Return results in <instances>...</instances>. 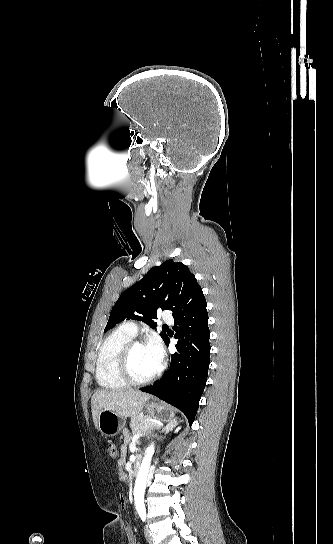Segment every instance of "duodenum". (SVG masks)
Instances as JSON below:
<instances>
[{
	"label": "duodenum",
	"instance_id": "1",
	"mask_svg": "<svg viewBox=\"0 0 333 544\" xmlns=\"http://www.w3.org/2000/svg\"><path fill=\"white\" fill-rule=\"evenodd\" d=\"M141 462H142V458L140 456H136L135 460H134V462L132 464V474L133 475H136L140 471Z\"/></svg>",
	"mask_w": 333,
	"mask_h": 544
}]
</instances>
